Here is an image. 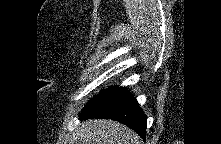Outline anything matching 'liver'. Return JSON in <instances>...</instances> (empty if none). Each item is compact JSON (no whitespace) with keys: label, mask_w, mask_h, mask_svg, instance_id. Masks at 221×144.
I'll list each match as a JSON object with an SVG mask.
<instances>
[{"label":"liver","mask_w":221,"mask_h":144,"mask_svg":"<svg viewBox=\"0 0 221 144\" xmlns=\"http://www.w3.org/2000/svg\"><path fill=\"white\" fill-rule=\"evenodd\" d=\"M78 144H141L139 136L128 127L106 119H89L76 129Z\"/></svg>","instance_id":"liver-1"}]
</instances>
